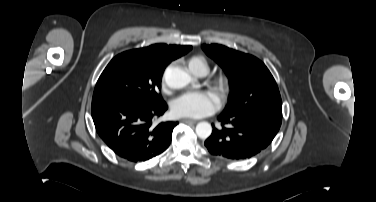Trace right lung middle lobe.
I'll return each instance as SVG.
<instances>
[{
    "instance_id": "1",
    "label": "right lung middle lobe",
    "mask_w": 376,
    "mask_h": 202,
    "mask_svg": "<svg viewBox=\"0 0 376 202\" xmlns=\"http://www.w3.org/2000/svg\"><path fill=\"white\" fill-rule=\"evenodd\" d=\"M163 72H152L145 59L135 50L114 57L101 74L92 99V105L110 99L158 102Z\"/></svg>"
}]
</instances>
